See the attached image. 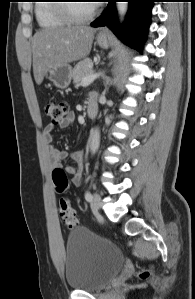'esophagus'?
<instances>
[{
	"label": "esophagus",
	"instance_id": "34e87169",
	"mask_svg": "<svg viewBox=\"0 0 195 299\" xmlns=\"http://www.w3.org/2000/svg\"><path fill=\"white\" fill-rule=\"evenodd\" d=\"M106 34H107V30L106 29H102L100 31V36H106Z\"/></svg>",
	"mask_w": 195,
	"mask_h": 299
}]
</instances>
